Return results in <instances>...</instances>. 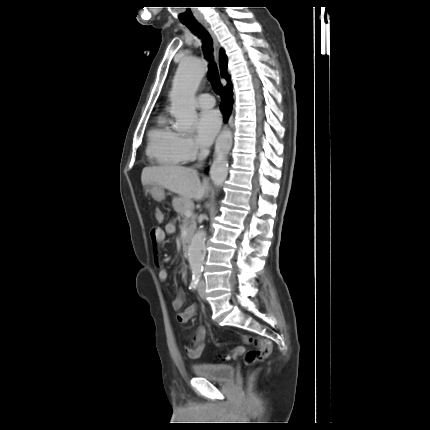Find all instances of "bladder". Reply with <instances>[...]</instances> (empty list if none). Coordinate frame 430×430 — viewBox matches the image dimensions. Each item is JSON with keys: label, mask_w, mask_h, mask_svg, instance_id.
Listing matches in <instances>:
<instances>
[{"label": "bladder", "mask_w": 430, "mask_h": 430, "mask_svg": "<svg viewBox=\"0 0 430 430\" xmlns=\"http://www.w3.org/2000/svg\"><path fill=\"white\" fill-rule=\"evenodd\" d=\"M193 372L197 377L227 383L234 378L236 370L228 364L200 363L193 366Z\"/></svg>", "instance_id": "31cf9c89"}]
</instances>
